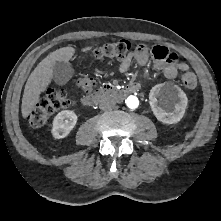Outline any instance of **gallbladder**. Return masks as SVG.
I'll return each instance as SVG.
<instances>
[{
	"label": "gallbladder",
	"mask_w": 221,
	"mask_h": 221,
	"mask_svg": "<svg viewBox=\"0 0 221 221\" xmlns=\"http://www.w3.org/2000/svg\"><path fill=\"white\" fill-rule=\"evenodd\" d=\"M74 69L69 62L56 61L53 65V79L58 85H65L73 76Z\"/></svg>",
	"instance_id": "1"
}]
</instances>
